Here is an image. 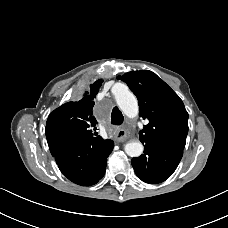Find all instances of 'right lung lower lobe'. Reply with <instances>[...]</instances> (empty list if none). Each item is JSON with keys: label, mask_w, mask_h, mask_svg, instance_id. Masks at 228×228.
<instances>
[{"label": "right lung lower lobe", "mask_w": 228, "mask_h": 228, "mask_svg": "<svg viewBox=\"0 0 228 228\" xmlns=\"http://www.w3.org/2000/svg\"><path fill=\"white\" fill-rule=\"evenodd\" d=\"M112 140L81 138L49 146L60 171L70 181L90 186L105 174L107 157L112 152Z\"/></svg>", "instance_id": "98d812e1"}]
</instances>
